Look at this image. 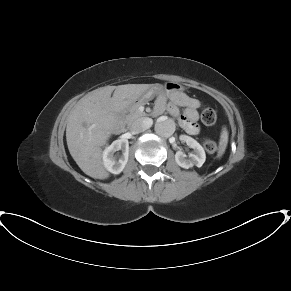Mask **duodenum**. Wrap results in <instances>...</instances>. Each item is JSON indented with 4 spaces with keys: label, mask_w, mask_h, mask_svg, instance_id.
<instances>
[{
    "label": "duodenum",
    "mask_w": 291,
    "mask_h": 291,
    "mask_svg": "<svg viewBox=\"0 0 291 291\" xmlns=\"http://www.w3.org/2000/svg\"><path fill=\"white\" fill-rule=\"evenodd\" d=\"M112 129H113V132L116 134L123 133L126 130V126L121 118L120 110H116L115 112Z\"/></svg>",
    "instance_id": "410a0bca"
}]
</instances>
